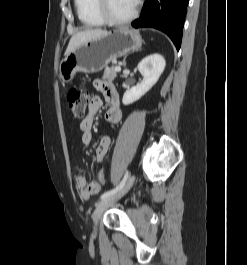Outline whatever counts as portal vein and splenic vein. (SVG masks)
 <instances>
[{
  "label": "portal vein and splenic vein",
  "instance_id": "portal-vein-and-splenic-vein-1",
  "mask_svg": "<svg viewBox=\"0 0 247 265\" xmlns=\"http://www.w3.org/2000/svg\"><path fill=\"white\" fill-rule=\"evenodd\" d=\"M115 71H116V72L121 71V67H120V66L115 67Z\"/></svg>",
  "mask_w": 247,
  "mask_h": 265
}]
</instances>
